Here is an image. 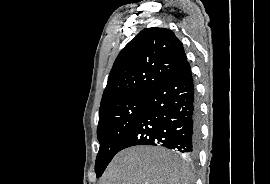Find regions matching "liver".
<instances>
[{"mask_svg": "<svg viewBox=\"0 0 270 184\" xmlns=\"http://www.w3.org/2000/svg\"><path fill=\"white\" fill-rule=\"evenodd\" d=\"M190 178L188 168L166 149L135 146L113 158L99 184H189Z\"/></svg>", "mask_w": 270, "mask_h": 184, "instance_id": "obj_1", "label": "liver"}]
</instances>
